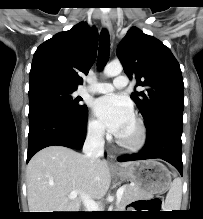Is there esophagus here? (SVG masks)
Here are the masks:
<instances>
[{"label":"esophagus","mask_w":203,"mask_h":219,"mask_svg":"<svg viewBox=\"0 0 203 219\" xmlns=\"http://www.w3.org/2000/svg\"><path fill=\"white\" fill-rule=\"evenodd\" d=\"M101 21H102L103 26H104L106 29H108V31H109L110 33H112V23H111V20L109 19V17H108L107 14H103V15H102ZM109 161H110V164H111L112 166H115L114 156L111 155V154L109 155Z\"/></svg>","instance_id":"obj_1"}]
</instances>
